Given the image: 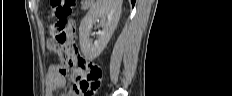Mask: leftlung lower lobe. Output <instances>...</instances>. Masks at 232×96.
<instances>
[{"label": "left lung lower lobe", "instance_id": "0a47b994", "mask_svg": "<svg viewBox=\"0 0 232 96\" xmlns=\"http://www.w3.org/2000/svg\"><path fill=\"white\" fill-rule=\"evenodd\" d=\"M131 2H132V5H134V3H135V0H131Z\"/></svg>", "mask_w": 232, "mask_h": 96}]
</instances>
